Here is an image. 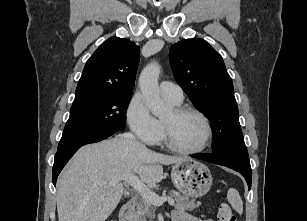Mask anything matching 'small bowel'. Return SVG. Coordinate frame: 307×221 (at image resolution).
<instances>
[{
    "instance_id": "obj_1",
    "label": "small bowel",
    "mask_w": 307,
    "mask_h": 221,
    "mask_svg": "<svg viewBox=\"0 0 307 221\" xmlns=\"http://www.w3.org/2000/svg\"><path fill=\"white\" fill-rule=\"evenodd\" d=\"M172 221H213L210 219H202L197 216H193L182 209H177L172 213Z\"/></svg>"
}]
</instances>
